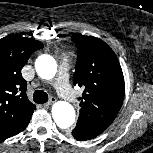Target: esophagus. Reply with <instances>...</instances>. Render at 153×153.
Returning a JSON list of instances; mask_svg holds the SVG:
<instances>
[{"label": "esophagus", "mask_w": 153, "mask_h": 153, "mask_svg": "<svg viewBox=\"0 0 153 153\" xmlns=\"http://www.w3.org/2000/svg\"><path fill=\"white\" fill-rule=\"evenodd\" d=\"M55 101H56V98H55V97H51L50 100H49L47 103L43 104V106H44V107H49V106H51Z\"/></svg>", "instance_id": "esophagus-1"}]
</instances>
